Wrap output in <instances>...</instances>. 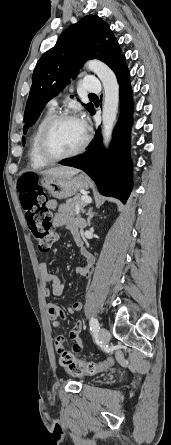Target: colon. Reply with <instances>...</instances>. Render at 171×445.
Instances as JSON below:
<instances>
[{
    "instance_id": "obj_1",
    "label": "colon",
    "mask_w": 171,
    "mask_h": 445,
    "mask_svg": "<svg viewBox=\"0 0 171 445\" xmlns=\"http://www.w3.org/2000/svg\"><path fill=\"white\" fill-rule=\"evenodd\" d=\"M20 204L31 234L41 251H48L58 239L52 224V215L47 207V198L34 175L19 178L17 182ZM59 363L75 376L93 375L106 367L104 362H84L75 359L65 349L58 351Z\"/></svg>"
}]
</instances>
